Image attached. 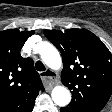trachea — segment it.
Listing matches in <instances>:
<instances>
[{
    "mask_svg": "<svg viewBox=\"0 0 112 112\" xmlns=\"http://www.w3.org/2000/svg\"><path fill=\"white\" fill-rule=\"evenodd\" d=\"M37 71H45V66L41 61H37L35 64Z\"/></svg>",
    "mask_w": 112,
    "mask_h": 112,
    "instance_id": "trachea-1",
    "label": "trachea"
}]
</instances>
